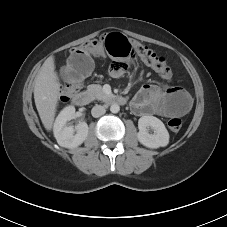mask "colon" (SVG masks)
I'll return each instance as SVG.
<instances>
[{"instance_id": "obj_1", "label": "colon", "mask_w": 227, "mask_h": 227, "mask_svg": "<svg viewBox=\"0 0 227 227\" xmlns=\"http://www.w3.org/2000/svg\"><path fill=\"white\" fill-rule=\"evenodd\" d=\"M104 50L114 59L113 63L115 64L124 65L127 59L137 55L147 66L159 73L163 79L169 80L172 77L171 68L164 57L159 56L141 42L130 39L120 33H109L99 38L91 39L72 48L69 55L74 51H81L85 55H89L98 54ZM81 84L82 82L78 85H67L64 83L60 89V99L67 101L80 90ZM168 127L171 131L178 132L182 127V120L177 117L171 118L168 121Z\"/></svg>"}]
</instances>
